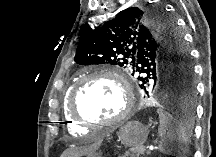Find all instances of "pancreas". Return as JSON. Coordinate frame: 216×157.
Instances as JSON below:
<instances>
[{"mask_svg": "<svg viewBox=\"0 0 216 157\" xmlns=\"http://www.w3.org/2000/svg\"><path fill=\"white\" fill-rule=\"evenodd\" d=\"M145 149L142 147H138L132 150V153L129 155L130 157H142V155L144 154ZM147 154H149L150 152H147Z\"/></svg>", "mask_w": 216, "mask_h": 157, "instance_id": "pancreas-1", "label": "pancreas"}]
</instances>
